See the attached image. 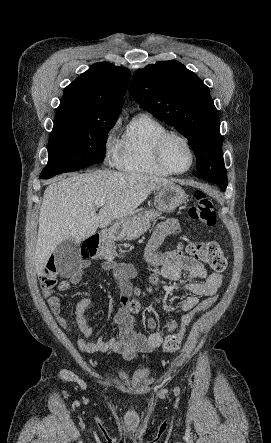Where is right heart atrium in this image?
Wrapping results in <instances>:
<instances>
[{"label":"right heart atrium","mask_w":271,"mask_h":443,"mask_svg":"<svg viewBox=\"0 0 271 443\" xmlns=\"http://www.w3.org/2000/svg\"><path fill=\"white\" fill-rule=\"evenodd\" d=\"M122 117L118 116L111 124L109 130L104 137V154L105 158L114 163L120 152V142L117 138V131L121 125Z\"/></svg>","instance_id":"1"}]
</instances>
